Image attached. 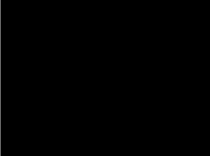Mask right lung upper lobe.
Instances as JSON below:
<instances>
[{"label": "right lung upper lobe", "mask_w": 210, "mask_h": 156, "mask_svg": "<svg viewBox=\"0 0 210 156\" xmlns=\"http://www.w3.org/2000/svg\"><path fill=\"white\" fill-rule=\"evenodd\" d=\"M58 102H57V114H56V119H57V121H63V119L64 118H66V115H67V109L68 108H66V102H65V100H64V98H63V96H62V94L60 95L59 94V98H58V100H57Z\"/></svg>", "instance_id": "cb5924a9"}]
</instances>
